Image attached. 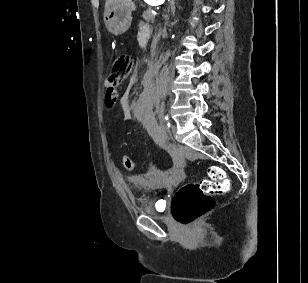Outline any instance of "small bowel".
Returning a JSON list of instances; mask_svg holds the SVG:
<instances>
[{"label":"small bowel","mask_w":308,"mask_h":283,"mask_svg":"<svg viewBox=\"0 0 308 283\" xmlns=\"http://www.w3.org/2000/svg\"><path fill=\"white\" fill-rule=\"evenodd\" d=\"M147 30L145 25L140 26L139 39L142 35V32ZM135 81L133 77L131 83ZM120 98V104L123 112V119L125 121L131 120L134 116L138 120H144L149 114L150 105L147 98L142 95L138 99L129 102L128 92L124 93L120 97L119 85H113L109 81L105 82V102L107 108L111 109L114 107L118 99Z\"/></svg>","instance_id":"small-bowel-1"}]
</instances>
